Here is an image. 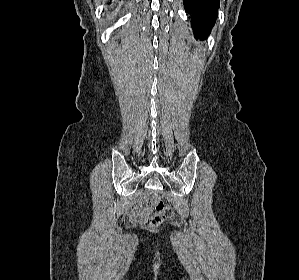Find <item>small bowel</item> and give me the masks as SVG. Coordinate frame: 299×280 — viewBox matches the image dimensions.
Masks as SVG:
<instances>
[{
  "label": "small bowel",
  "instance_id": "c3829d8e",
  "mask_svg": "<svg viewBox=\"0 0 299 280\" xmlns=\"http://www.w3.org/2000/svg\"><path fill=\"white\" fill-rule=\"evenodd\" d=\"M146 197L138 200L136 206L131 211V218L136 222H143L151 212L150 206H145Z\"/></svg>",
  "mask_w": 299,
  "mask_h": 280
}]
</instances>
